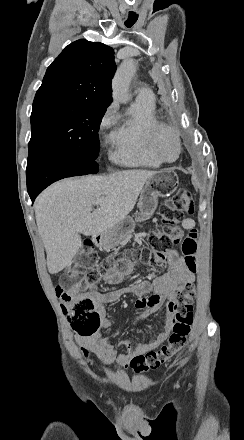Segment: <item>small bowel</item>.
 <instances>
[{
    "instance_id": "small-bowel-1",
    "label": "small bowel",
    "mask_w": 244,
    "mask_h": 440,
    "mask_svg": "<svg viewBox=\"0 0 244 440\" xmlns=\"http://www.w3.org/2000/svg\"><path fill=\"white\" fill-rule=\"evenodd\" d=\"M181 226L185 230L195 228V221L186 218ZM168 271L152 279L140 281L127 289H117L108 292H84L79 288H71L68 294L76 300H90L95 310L100 314L101 330H113L109 337L102 338L100 332H95L90 336H77V344L80 347L85 359L91 355L105 366L113 367L116 370L127 369L133 361L134 353H147L163 344L172 329V304L176 291L182 287L193 284L195 281V271L190 270L176 250H170L167 254ZM133 271V263L128 258H120L101 275V280L111 284H120L124 278ZM126 293L136 296V306L144 309V313L131 322V326L142 325L150 316L157 313L163 306H166L167 314L164 319L162 329L152 334L147 342H135L133 338L128 339L124 344L127 351L119 353L117 347L111 344V339L117 335L121 328H114L107 316L105 306L117 302ZM148 332H152L150 327H145Z\"/></svg>"
}]
</instances>
